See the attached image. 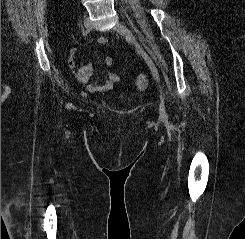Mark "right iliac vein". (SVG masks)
<instances>
[{
	"label": "right iliac vein",
	"mask_w": 245,
	"mask_h": 239,
	"mask_svg": "<svg viewBox=\"0 0 245 239\" xmlns=\"http://www.w3.org/2000/svg\"><path fill=\"white\" fill-rule=\"evenodd\" d=\"M83 24H84V26L88 29V28H90L91 27V20L89 19V17H85L84 18V20H83Z\"/></svg>",
	"instance_id": "63e3f726"
}]
</instances>
